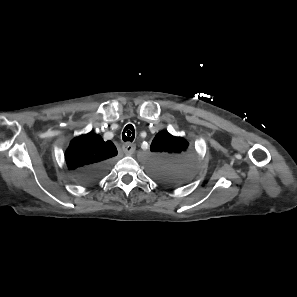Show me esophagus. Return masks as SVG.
Returning <instances> with one entry per match:
<instances>
[{
  "instance_id": "obj_1",
  "label": "esophagus",
  "mask_w": 297,
  "mask_h": 297,
  "mask_svg": "<svg viewBox=\"0 0 297 297\" xmlns=\"http://www.w3.org/2000/svg\"><path fill=\"white\" fill-rule=\"evenodd\" d=\"M122 149H123V151H124V153H125L126 155H131V154L134 153L136 147H135L134 144L124 143V144L122 145Z\"/></svg>"
}]
</instances>
